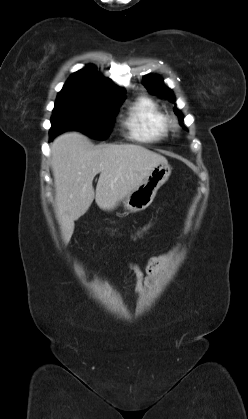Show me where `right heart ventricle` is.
Masks as SVG:
<instances>
[{
    "label": "right heart ventricle",
    "instance_id": "right-heart-ventricle-1",
    "mask_svg": "<svg viewBox=\"0 0 248 419\" xmlns=\"http://www.w3.org/2000/svg\"><path fill=\"white\" fill-rule=\"evenodd\" d=\"M166 118L156 101L148 96H140L129 108L125 126L131 138L157 142L167 136Z\"/></svg>",
    "mask_w": 248,
    "mask_h": 419
}]
</instances>
